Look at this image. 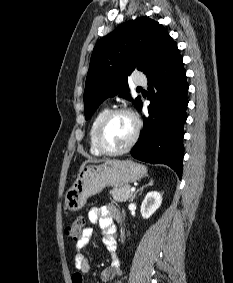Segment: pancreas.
Listing matches in <instances>:
<instances>
[{"instance_id":"obj_1","label":"pancreas","mask_w":233,"mask_h":283,"mask_svg":"<svg viewBox=\"0 0 233 283\" xmlns=\"http://www.w3.org/2000/svg\"><path fill=\"white\" fill-rule=\"evenodd\" d=\"M110 194L113 199L118 202H125L127 200L131 201L133 197V192H131L129 185H124L120 188H114L110 191Z\"/></svg>"}]
</instances>
